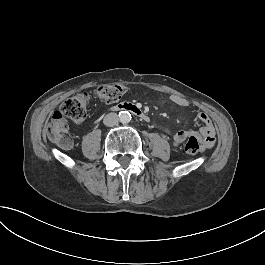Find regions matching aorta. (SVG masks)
<instances>
[{"instance_id": "aorta-1", "label": "aorta", "mask_w": 265, "mask_h": 265, "mask_svg": "<svg viewBox=\"0 0 265 265\" xmlns=\"http://www.w3.org/2000/svg\"><path fill=\"white\" fill-rule=\"evenodd\" d=\"M119 120L123 124H127L131 120V114L128 111H121L119 113Z\"/></svg>"}]
</instances>
